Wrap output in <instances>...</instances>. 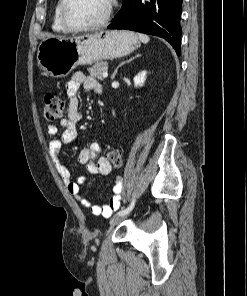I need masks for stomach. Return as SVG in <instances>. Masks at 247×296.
<instances>
[{
    "instance_id": "0dacf381",
    "label": "stomach",
    "mask_w": 247,
    "mask_h": 296,
    "mask_svg": "<svg viewBox=\"0 0 247 296\" xmlns=\"http://www.w3.org/2000/svg\"><path fill=\"white\" fill-rule=\"evenodd\" d=\"M139 46L137 35L128 31H105L72 38L47 37L39 44L37 59L45 73L62 78L78 65L123 57Z\"/></svg>"
}]
</instances>
